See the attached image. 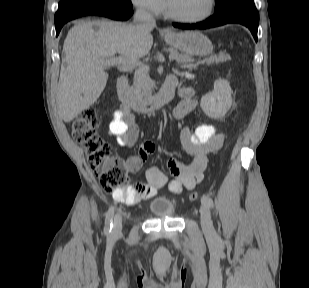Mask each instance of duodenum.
Instances as JSON below:
<instances>
[{
	"label": "duodenum",
	"mask_w": 309,
	"mask_h": 288,
	"mask_svg": "<svg viewBox=\"0 0 309 288\" xmlns=\"http://www.w3.org/2000/svg\"><path fill=\"white\" fill-rule=\"evenodd\" d=\"M117 93L122 105L140 113L155 111L171 101L174 95L175 84L166 81L159 92L145 99H137L133 94L125 76L118 78L116 83Z\"/></svg>",
	"instance_id": "duodenum-1"
}]
</instances>
